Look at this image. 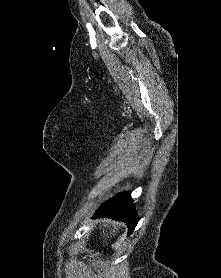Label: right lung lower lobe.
I'll return each instance as SVG.
<instances>
[{"instance_id": "right-lung-lower-lobe-1", "label": "right lung lower lobe", "mask_w": 221, "mask_h": 278, "mask_svg": "<svg viewBox=\"0 0 221 278\" xmlns=\"http://www.w3.org/2000/svg\"><path fill=\"white\" fill-rule=\"evenodd\" d=\"M94 217H109L115 220L124 221L131 234L137 225L138 218L132 203L129 192L119 193L109 199L97 211Z\"/></svg>"}]
</instances>
